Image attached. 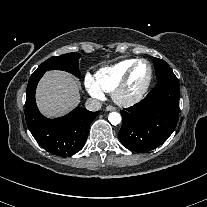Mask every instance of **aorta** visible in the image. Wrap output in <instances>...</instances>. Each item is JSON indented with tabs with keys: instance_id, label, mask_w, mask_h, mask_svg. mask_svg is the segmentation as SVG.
I'll use <instances>...</instances> for the list:
<instances>
[{
	"instance_id": "aorta-1",
	"label": "aorta",
	"mask_w": 207,
	"mask_h": 207,
	"mask_svg": "<svg viewBox=\"0 0 207 207\" xmlns=\"http://www.w3.org/2000/svg\"><path fill=\"white\" fill-rule=\"evenodd\" d=\"M108 120L112 125H117L121 122V115L118 112H111Z\"/></svg>"
}]
</instances>
